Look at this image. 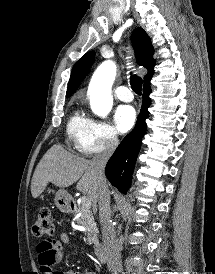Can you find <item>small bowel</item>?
Instances as JSON below:
<instances>
[{"label":"small bowel","mask_w":215,"mask_h":274,"mask_svg":"<svg viewBox=\"0 0 215 274\" xmlns=\"http://www.w3.org/2000/svg\"><path fill=\"white\" fill-rule=\"evenodd\" d=\"M63 244L72 245V241L66 232L59 234L58 240L41 241L36 246L40 272L43 274H96L95 272H54L52 266L62 260L65 255Z\"/></svg>","instance_id":"c3829d8e"}]
</instances>
